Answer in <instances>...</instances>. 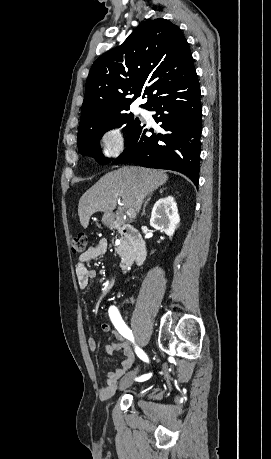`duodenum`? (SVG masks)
Listing matches in <instances>:
<instances>
[{"instance_id":"duodenum-1","label":"duodenum","mask_w":271,"mask_h":459,"mask_svg":"<svg viewBox=\"0 0 271 459\" xmlns=\"http://www.w3.org/2000/svg\"><path fill=\"white\" fill-rule=\"evenodd\" d=\"M113 226L130 240L134 248V261L137 265H141L146 259L147 248L140 231L120 219H114Z\"/></svg>"}]
</instances>
